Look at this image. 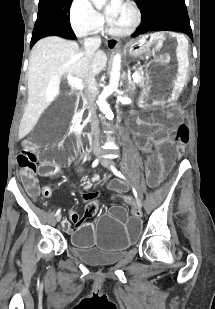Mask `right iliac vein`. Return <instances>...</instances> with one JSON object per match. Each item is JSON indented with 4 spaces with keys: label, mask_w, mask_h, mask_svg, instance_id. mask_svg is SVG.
<instances>
[{
    "label": "right iliac vein",
    "mask_w": 215,
    "mask_h": 309,
    "mask_svg": "<svg viewBox=\"0 0 215 309\" xmlns=\"http://www.w3.org/2000/svg\"><path fill=\"white\" fill-rule=\"evenodd\" d=\"M61 220V214H59L56 218H55V222H59Z\"/></svg>",
    "instance_id": "63e3f726"
}]
</instances>
